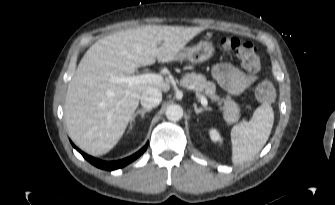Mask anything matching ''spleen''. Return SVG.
<instances>
[{"instance_id": "3e777b00", "label": "spleen", "mask_w": 335, "mask_h": 205, "mask_svg": "<svg viewBox=\"0 0 335 205\" xmlns=\"http://www.w3.org/2000/svg\"><path fill=\"white\" fill-rule=\"evenodd\" d=\"M274 122L273 108L259 106L250 121H243L231 130L232 162L243 164L252 160L267 142Z\"/></svg>"}]
</instances>
